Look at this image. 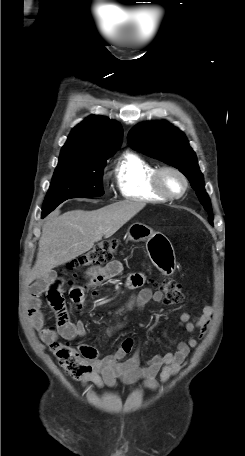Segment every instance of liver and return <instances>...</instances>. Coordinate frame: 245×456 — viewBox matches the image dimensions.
I'll return each instance as SVG.
<instances>
[{
    "label": "liver",
    "instance_id": "1",
    "mask_svg": "<svg viewBox=\"0 0 245 456\" xmlns=\"http://www.w3.org/2000/svg\"><path fill=\"white\" fill-rule=\"evenodd\" d=\"M142 201H121L93 211H56L42 226L37 259L26 284L46 278L53 268L86 253L102 237H111L145 207Z\"/></svg>",
    "mask_w": 245,
    "mask_h": 456
}]
</instances>
